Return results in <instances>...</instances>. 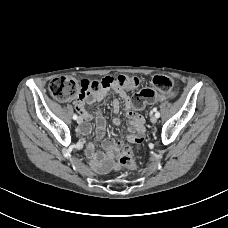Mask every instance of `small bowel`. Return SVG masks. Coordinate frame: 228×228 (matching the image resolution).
<instances>
[{
  "instance_id": "c3829d8e",
  "label": "small bowel",
  "mask_w": 228,
  "mask_h": 228,
  "mask_svg": "<svg viewBox=\"0 0 228 228\" xmlns=\"http://www.w3.org/2000/svg\"><path fill=\"white\" fill-rule=\"evenodd\" d=\"M109 91L115 92L124 101V112L126 116L129 118L128 140L132 143L143 142L145 138L144 119L142 118L141 115L134 112L129 96L127 95L126 91L119 85H113L109 89L102 90L96 95L87 94L76 99L75 101L76 109L80 113L83 119L82 125L79 128V132L81 134L90 133L91 126L89 124V121L92 119V114L88 111L87 106L95 102H101L106 97ZM112 108L114 113H118L120 111V101L118 99H114L112 101ZM95 118H96L97 137L98 139L103 141L102 144L105 150V155L102 161V165L105 169L114 167L115 166L114 160L120 153L122 143L120 141H114L109 138H104L105 130H106V121L102 116V113L100 110L95 111ZM112 123L115 126H118L120 125V120L118 118H114Z\"/></svg>"
}]
</instances>
